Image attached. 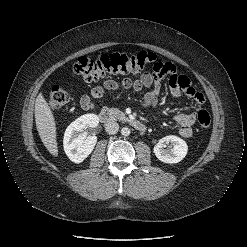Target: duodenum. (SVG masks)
Returning <instances> with one entry per match:
<instances>
[{
    "label": "duodenum",
    "mask_w": 247,
    "mask_h": 247,
    "mask_svg": "<svg viewBox=\"0 0 247 247\" xmlns=\"http://www.w3.org/2000/svg\"><path fill=\"white\" fill-rule=\"evenodd\" d=\"M99 118L101 120V122L103 123H108L111 122L113 119L112 113L109 109H103L100 114H99ZM129 123L138 131H145L146 130V126L143 122L139 121V120H129Z\"/></svg>",
    "instance_id": "1"
}]
</instances>
